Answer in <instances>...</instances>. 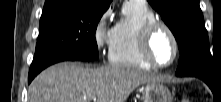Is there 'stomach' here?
<instances>
[{
    "label": "stomach",
    "mask_w": 221,
    "mask_h": 102,
    "mask_svg": "<svg viewBox=\"0 0 221 102\" xmlns=\"http://www.w3.org/2000/svg\"><path fill=\"white\" fill-rule=\"evenodd\" d=\"M169 89L160 82H150L143 88V102H172Z\"/></svg>",
    "instance_id": "stomach-1"
}]
</instances>
